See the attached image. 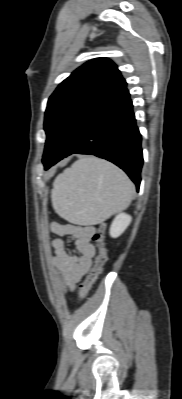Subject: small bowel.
<instances>
[{
    "label": "small bowel",
    "instance_id": "c3829d8e",
    "mask_svg": "<svg viewBox=\"0 0 182 399\" xmlns=\"http://www.w3.org/2000/svg\"><path fill=\"white\" fill-rule=\"evenodd\" d=\"M51 230L58 236L51 241L54 253L50 256L56 286L60 291H74L92 266L95 247L91 240L95 227L54 222L51 224ZM62 237H67L69 242ZM69 243L74 245L75 254L68 250Z\"/></svg>",
    "mask_w": 182,
    "mask_h": 399
}]
</instances>
